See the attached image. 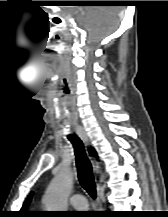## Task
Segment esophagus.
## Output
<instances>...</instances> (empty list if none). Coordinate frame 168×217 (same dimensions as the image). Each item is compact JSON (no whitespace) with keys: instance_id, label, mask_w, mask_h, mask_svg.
Listing matches in <instances>:
<instances>
[{"instance_id":"obj_1","label":"esophagus","mask_w":168,"mask_h":217,"mask_svg":"<svg viewBox=\"0 0 168 217\" xmlns=\"http://www.w3.org/2000/svg\"><path fill=\"white\" fill-rule=\"evenodd\" d=\"M76 131L79 134V136L81 137V139L83 140V142L86 145H89L88 136H87V133L84 130V128L82 126H76ZM92 165H93V170H94L95 174H98L100 172L99 163L95 160V161L92 162Z\"/></svg>"}]
</instances>
